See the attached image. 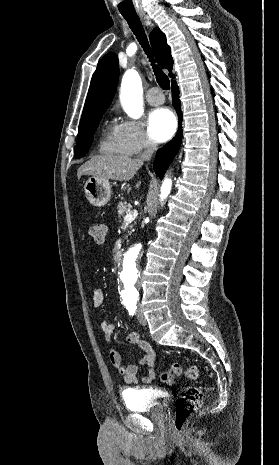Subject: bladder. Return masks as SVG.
Instances as JSON below:
<instances>
[{
  "label": "bladder",
  "mask_w": 279,
  "mask_h": 465,
  "mask_svg": "<svg viewBox=\"0 0 279 465\" xmlns=\"http://www.w3.org/2000/svg\"><path fill=\"white\" fill-rule=\"evenodd\" d=\"M122 399L127 410L131 412H154L161 414L169 400L165 392L143 387H129L122 390Z\"/></svg>",
  "instance_id": "1"
}]
</instances>
